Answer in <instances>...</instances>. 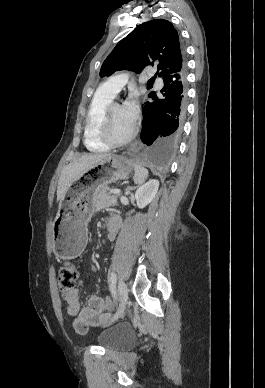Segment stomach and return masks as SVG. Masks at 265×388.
<instances>
[{
  "label": "stomach",
  "mask_w": 265,
  "mask_h": 388,
  "mask_svg": "<svg viewBox=\"0 0 265 388\" xmlns=\"http://www.w3.org/2000/svg\"><path fill=\"white\" fill-rule=\"evenodd\" d=\"M132 170L129 159L111 155L84 170L71 182L59 202L52 226L53 250L57 257L73 259L82 253L87 242L86 226L95 210L97 188L127 178Z\"/></svg>",
  "instance_id": "obj_1"
}]
</instances>
